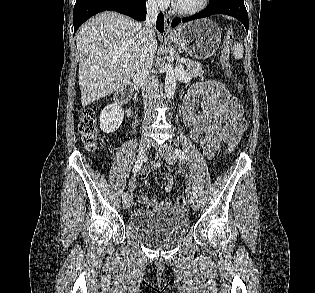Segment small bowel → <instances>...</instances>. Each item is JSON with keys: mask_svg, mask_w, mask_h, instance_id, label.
I'll list each match as a JSON object with an SVG mask.
<instances>
[{"mask_svg": "<svg viewBox=\"0 0 315 293\" xmlns=\"http://www.w3.org/2000/svg\"><path fill=\"white\" fill-rule=\"evenodd\" d=\"M203 96L201 106L203 114L196 115L195 98ZM243 110L236 98L231 97L228 89L216 80L198 83L192 87L187 95L183 107L184 123L190 127L191 138L200 144L203 153L212 157L222 142H231L240 139L246 129V121L242 117ZM158 162L152 161L145 173L155 169ZM170 190V183L165 191ZM141 209L139 212H149L155 208H169L172 202L169 199L157 200L147 196L139 198Z\"/></svg>", "mask_w": 315, "mask_h": 293, "instance_id": "obj_1", "label": "small bowel"}]
</instances>
